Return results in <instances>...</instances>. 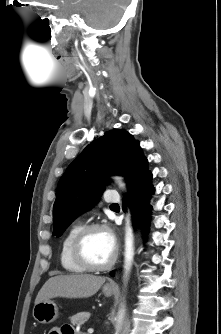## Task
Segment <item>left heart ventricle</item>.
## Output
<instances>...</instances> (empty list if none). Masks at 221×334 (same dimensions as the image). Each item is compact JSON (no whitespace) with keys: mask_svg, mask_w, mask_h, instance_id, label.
<instances>
[{"mask_svg":"<svg viewBox=\"0 0 221 334\" xmlns=\"http://www.w3.org/2000/svg\"><path fill=\"white\" fill-rule=\"evenodd\" d=\"M115 243L112 236L104 230L91 232L85 240L84 252L95 264H105L113 256Z\"/></svg>","mask_w":221,"mask_h":334,"instance_id":"1","label":"left heart ventricle"}]
</instances>
